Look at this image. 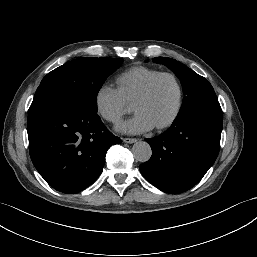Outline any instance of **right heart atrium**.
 I'll list each match as a JSON object with an SVG mask.
<instances>
[{
    "label": "right heart atrium",
    "mask_w": 257,
    "mask_h": 257,
    "mask_svg": "<svg viewBox=\"0 0 257 257\" xmlns=\"http://www.w3.org/2000/svg\"><path fill=\"white\" fill-rule=\"evenodd\" d=\"M97 112L108 122L116 123L126 114L130 105L120 91L107 84L101 85L95 94Z\"/></svg>",
    "instance_id": "d8ad5b80"
}]
</instances>
